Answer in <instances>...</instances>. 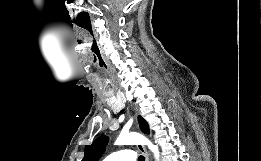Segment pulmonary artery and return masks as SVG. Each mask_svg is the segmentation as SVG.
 Instances as JSON below:
<instances>
[{
	"label": "pulmonary artery",
	"instance_id": "obj_1",
	"mask_svg": "<svg viewBox=\"0 0 261 161\" xmlns=\"http://www.w3.org/2000/svg\"><path fill=\"white\" fill-rule=\"evenodd\" d=\"M136 153L129 149H121L111 152L103 161H135Z\"/></svg>",
	"mask_w": 261,
	"mask_h": 161
}]
</instances>
